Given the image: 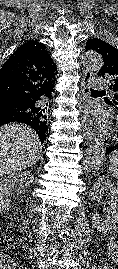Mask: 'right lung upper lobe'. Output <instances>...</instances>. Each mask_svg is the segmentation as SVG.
<instances>
[{"label": "right lung upper lobe", "mask_w": 118, "mask_h": 269, "mask_svg": "<svg viewBox=\"0 0 118 269\" xmlns=\"http://www.w3.org/2000/svg\"><path fill=\"white\" fill-rule=\"evenodd\" d=\"M56 74V65L46 46L36 41L20 46L0 70V97L13 95L38 104L30 126L42 141L46 140L50 118V103L43 101L53 98Z\"/></svg>", "instance_id": "cb5924a9"}]
</instances>
